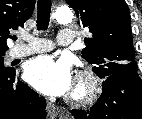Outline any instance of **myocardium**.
I'll return each instance as SVG.
<instances>
[{
    "instance_id": "1",
    "label": "myocardium",
    "mask_w": 142,
    "mask_h": 119,
    "mask_svg": "<svg viewBox=\"0 0 142 119\" xmlns=\"http://www.w3.org/2000/svg\"><path fill=\"white\" fill-rule=\"evenodd\" d=\"M101 90V81L92 71L85 70L77 74L75 84L68 95V101L79 107L91 105Z\"/></svg>"
}]
</instances>
